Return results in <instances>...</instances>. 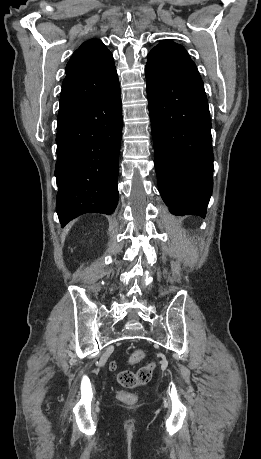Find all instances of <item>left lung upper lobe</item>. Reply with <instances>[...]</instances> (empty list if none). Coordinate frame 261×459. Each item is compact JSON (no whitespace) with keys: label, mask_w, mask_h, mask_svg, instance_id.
<instances>
[{"label":"left lung upper lobe","mask_w":261,"mask_h":459,"mask_svg":"<svg viewBox=\"0 0 261 459\" xmlns=\"http://www.w3.org/2000/svg\"><path fill=\"white\" fill-rule=\"evenodd\" d=\"M146 66L173 76L201 79L184 47L169 40L162 41L149 52Z\"/></svg>","instance_id":"1"}]
</instances>
